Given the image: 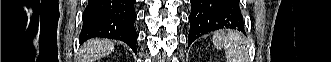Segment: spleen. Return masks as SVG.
<instances>
[{
  "label": "spleen",
  "instance_id": "1",
  "mask_svg": "<svg viewBox=\"0 0 331 62\" xmlns=\"http://www.w3.org/2000/svg\"><path fill=\"white\" fill-rule=\"evenodd\" d=\"M213 44L216 48H224L227 62H248V47L245 37L236 31L228 33L216 32L213 36Z\"/></svg>",
  "mask_w": 331,
  "mask_h": 62
}]
</instances>
